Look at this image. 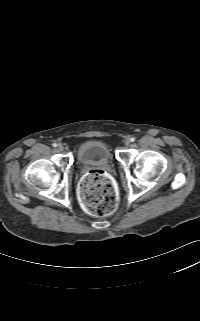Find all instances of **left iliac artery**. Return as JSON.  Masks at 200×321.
Masks as SVG:
<instances>
[{
    "label": "left iliac artery",
    "instance_id": "44dca946",
    "mask_svg": "<svg viewBox=\"0 0 200 321\" xmlns=\"http://www.w3.org/2000/svg\"><path fill=\"white\" fill-rule=\"evenodd\" d=\"M130 141H131V142H134V141H135V138H134V137L130 138Z\"/></svg>",
    "mask_w": 200,
    "mask_h": 321
}]
</instances>
